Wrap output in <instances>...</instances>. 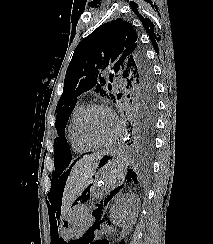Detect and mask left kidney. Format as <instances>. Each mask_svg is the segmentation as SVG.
Masks as SVG:
<instances>
[{"mask_svg":"<svg viewBox=\"0 0 213 244\" xmlns=\"http://www.w3.org/2000/svg\"><path fill=\"white\" fill-rule=\"evenodd\" d=\"M137 201L134 195H126L120 198L111 208V219L114 223L121 225L123 228H129L137 216Z\"/></svg>","mask_w":213,"mask_h":244,"instance_id":"5707ae66","label":"left kidney"}]
</instances>
